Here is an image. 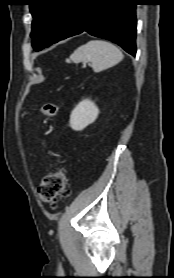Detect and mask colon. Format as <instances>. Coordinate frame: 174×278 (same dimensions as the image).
Masks as SVG:
<instances>
[{"label": "colon", "mask_w": 174, "mask_h": 278, "mask_svg": "<svg viewBox=\"0 0 174 278\" xmlns=\"http://www.w3.org/2000/svg\"><path fill=\"white\" fill-rule=\"evenodd\" d=\"M58 109L57 104L48 102L41 106L40 112L46 117H53L57 114ZM69 194L67 177L63 169H57L46 175L38 187V195L41 200L53 208Z\"/></svg>", "instance_id": "1"}]
</instances>
